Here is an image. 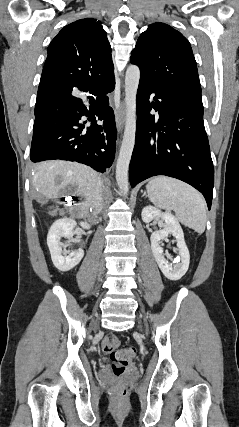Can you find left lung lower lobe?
Listing matches in <instances>:
<instances>
[{
    "mask_svg": "<svg viewBox=\"0 0 239 427\" xmlns=\"http://www.w3.org/2000/svg\"><path fill=\"white\" fill-rule=\"evenodd\" d=\"M155 93L154 102L149 97ZM160 99V100H158ZM159 113V119L150 114ZM136 141L129 167L130 184L156 175L180 179L199 190L211 208L214 168L203 123L202 102L140 78Z\"/></svg>",
    "mask_w": 239,
    "mask_h": 427,
    "instance_id": "0a47b994",
    "label": "left lung lower lobe"
}]
</instances>
